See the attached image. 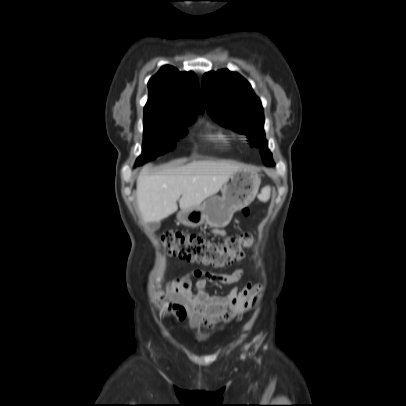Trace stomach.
<instances>
[{
	"instance_id": "stomach-1",
	"label": "stomach",
	"mask_w": 406,
	"mask_h": 406,
	"mask_svg": "<svg viewBox=\"0 0 406 406\" xmlns=\"http://www.w3.org/2000/svg\"><path fill=\"white\" fill-rule=\"evenodd\" d=\"M259 175L252 170L240 169L229 177L221 192L211 196L203 204L178 213V220L185 226L197 227L206 222L214 228L227 226L237 210L248 206L258 193Z\"/></svg>"
}]
</instances>
